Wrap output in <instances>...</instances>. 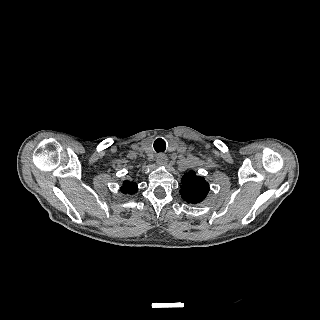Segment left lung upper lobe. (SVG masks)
Wrapping results in <instances>:
<instances>
[{
  "label": "left lung upper lobe",
  "mask_w": 320,
  "mask_h": 320,
  "mask_svg": "<svg viewBox=\"0 0 320 320\" xmlns=\"http://www.w3.org/2000/svg\"><path fill=\"white\" fill-rule=\"evenodd\" d=\"M208 192L209 184L203 177L197 176L194 171H190L182 177L180 194L186 202L192 204L200 203Z\"/></svg>",
  "instance_id": "left-lung-upper-lobe-1"
}]
</instances>
